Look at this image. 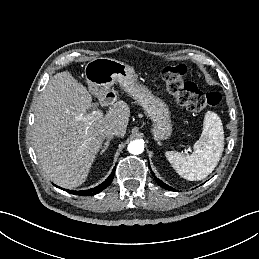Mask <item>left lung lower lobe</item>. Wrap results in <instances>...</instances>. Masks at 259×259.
Masks as SVG:
<instances>
[{
    "mask_svg": "<svg viewBox=\"0 0 259 259\" xmlns=\"http://www.w3.org/2000/svg\"><path fill=\"white\" fill-rule=\"evenodd\" d=\"M148 165H149V162H148ZM150 167V165H149ZM153 174V176L155 177L154 173L151 172ZM155 180L157 181V183L162 186L163 188L167 189V190H170V191H175V189H173L172 187L168 186L167 184H165L164 182H162L160 179L156 178L155 177Z\"/></svg>",
    "mask_w": 259,
    "mask_h": 259,
    "instance_id": "obj_1",
    "label": "left lung lower lobe"
}]
</instances>
